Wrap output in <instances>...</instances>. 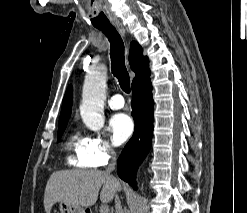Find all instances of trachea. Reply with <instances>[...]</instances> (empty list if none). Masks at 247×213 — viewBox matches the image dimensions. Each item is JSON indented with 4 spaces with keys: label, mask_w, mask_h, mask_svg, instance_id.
Segmentation results:
<instances>
[{
    "label": "trachea",
    "mask_w": 247,
    "mask_h": 213,
    "mask_svg": "<svg viewBox=\"0 0 247 213\" xmlns=\"http://www.w3.org/2000/svg\"><path fill=\"white\" fill-rule=\"evenodd\" d=\"M101 30L110 42L111 69L118 79L121 89L130 93V77L125 66L124 43L117 30L110 24L95 26Z\"/></svg>",
    "instance_id": "3493384b"
}]
</instances>
